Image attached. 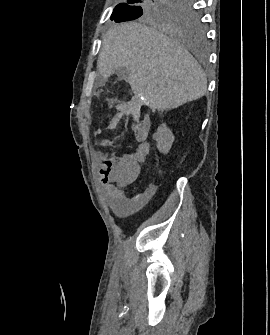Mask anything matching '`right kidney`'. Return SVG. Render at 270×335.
<instances>
[{"mask_svg":"<svg viewBox=\"0 0 270 335\" xmlns=\"http://www.w3.org/2000/svg\"><path fill=\"white\" fill-rule=\"evenodd\" d=\"M153 140H156L157 148L161 154H168L175 138L166 124H161L156 134H153Z\"/></svg>","mask_w":270,"mask_h":335,"instance_id":"obj_1","label":"right kidney"}]
</instances>
